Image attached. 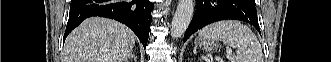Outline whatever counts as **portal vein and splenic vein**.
<instances>
[{
	"label": "portal vein and splenic vein",
	"instance_id": "portal-vein-and-splenic-vein-1",
	"mask_svg": "<svg viewBox=\"0 0 331 62\" xmlns=\"http://www.w3.org/2000/svg\"><path fill=\"white\" fill-rule=\"evenodd\" d=\"M227 53L228 54H231L232 53V50L231 49H227Z\"/></svg>",
	"mask_w": 331,
	"mask_h": 62
}]
</instances>
